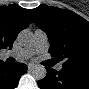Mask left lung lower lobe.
<instances>
[{
  "mask_svg": "<svg viewBox=\"0 0 89 89\" xmlns=\"http://www.w3.org/2000/svg\"><path fill=\"white\" fill-rule=\"evenodd\" d=\"M47 75L38 81L41 89H89V72L62 68H46Z\"/></svg>",
  "mask_w": 89,
  "mask_h": 89,
  "instance_id": "1",
  "label": "left lung lower lobe"
}]
</instances>
